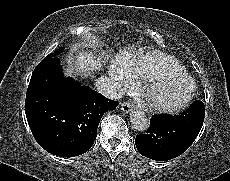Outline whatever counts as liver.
Returning <instances> with one entry per match:
<instances>
[{
    "mask_svg": "<svg viewBox=\"0 0 230 181\" xmlns=\"http://www.w3.org/2000/svg\"><path fill=\"white\" fill-rule=\"evenodd\" d=\"M91 52L75 51L68 59L66 72L72 76H87L100 65L99 58L95 59Z\"/></svg>",
    "mask_w": 230,
    "mask_h": 181,
    "instance_id": "6515ba94",
    "label": "liver"
}]
</instances>
